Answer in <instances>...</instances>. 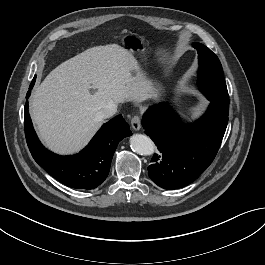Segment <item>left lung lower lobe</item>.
<instances>
[{
    "label": "left lung lower lobe",
    "instance_id": "left-lung-lower-lobe-1",
    "mask_svg": "<svg viewBox=\"0 0 265 265\" xmlns=\"http://www.w3.org/2000/svg\"><path fill=\"white\" fill-rule=\"evenodd\" d=\"M229 109L211 102L194 124L182 126L166 103L148 109L142 118L147 135L157 145L148 175L164 189H177L196 180L212 163L228 123Z\"/></svg>",
    "mask_w": 265,
    "mask_h": 265
}]
</instances>
